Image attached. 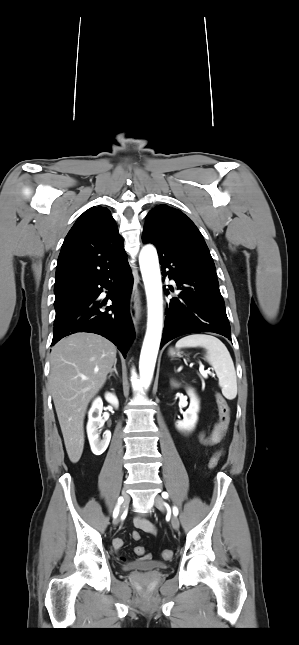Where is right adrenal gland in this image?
Here are the masks:
<instances>
[{"label": "right adrenal gland", "instance_id": "obj_1", "mask_svg": "<svg viewBox=\"0 0 299 645\" xmlns=\"http://www.w3.org/2000/svg\"><path fill=\"white\" fill-rule=\"evenodd\" d=\"M116 364H117V361H115L114 366H113V368H112V369H111V371H110V374H109V376H108V378H109V379H110V377L113 375V372H115V374L118 376V372H117V369H116Z\"/></svg>", "mask_w": 299, "mask_h": 645}]
</instances>
